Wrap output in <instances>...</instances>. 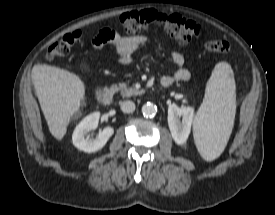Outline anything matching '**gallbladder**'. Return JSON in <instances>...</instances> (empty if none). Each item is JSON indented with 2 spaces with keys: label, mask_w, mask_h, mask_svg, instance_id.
<instances>
[{
  "label": "gallbladder",
  "mask_w": 275,
  "mask_h": 215,
  "mask_svg": "<svg viewBox=\"0 0 275 215\" xmlns=\"http://www.w3.org/2000/svg\"><path fill=\"white\" fill-rule=\"evenodd\" d=\"M82 68L85 69V70H88L89 69V66L86 62H82L81 64Z\"/></svg>",
  "instance_id": "1"
}]
</instances>
